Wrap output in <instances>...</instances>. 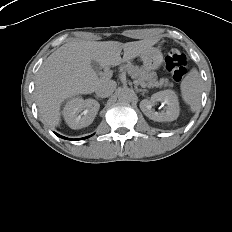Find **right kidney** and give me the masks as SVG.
Segmentation results:
<instances>
[{"label": "right kidney", "mask_w": 232, "mask_h": 232, "mask_svg": "<svg viewBox=\"0 0 232 232\" xmlns=\"http://www.w3.org/2000/svg\"><path fill=\"white\" fill-rule=\"evenodd\" d=\"M100 104L94 99L75 97L69 99L62 111L63 117L72 129H81L89 126L95 119Z\"/></svg>", "instance_id": "right-kidney-1"}]
</instances>
